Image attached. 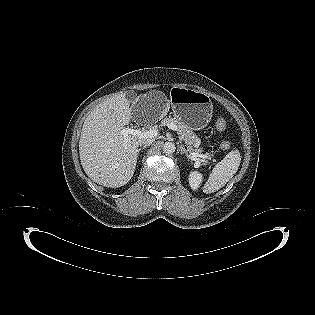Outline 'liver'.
<instances>
[{
    "label": "liver",
    "mask_w": 315,
    "mask_h": 315,
    "mask_svg": "<svg viewBox=\"0 0 315 315\" xmlns=\"http://www.w3.org/2000/svg\"><path fill=\"white\" fill-rule=\"evenodd\" d=\"M139 98L136 99L138 101ZM169 105L161 117L168 112ZM132 119V108L125 93L117 94L97 105L84 121L79 155L87 176L111 188L121 187L132 178L138 156L139 138L120 133Z\"/></svg>",
    "instance_id": "liver-1"
}]
</instances>
